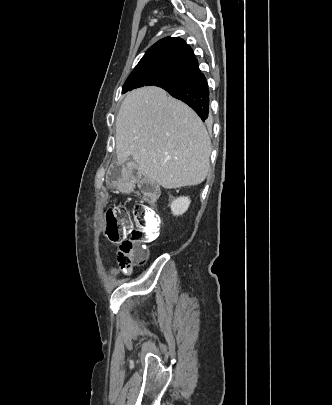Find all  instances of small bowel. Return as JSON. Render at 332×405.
<instances>
[{"label":"small bowel","mask_w":332,"mask_h":405,"mask_svg":"<svg viewBox=\"0 0 332 405\" xmlns=\"http://www.w3.org/2000/svg\"><path fill=\"white\" fill-rule=\"evenodd\" d=\"M110 172L103 173V180L108 181L109 186H141L142 173L129 172L125 162H112ZM113 272L117 269L113 268Z\"/></svg>","instance_id":"small-bowel-1"}]
</instances>
